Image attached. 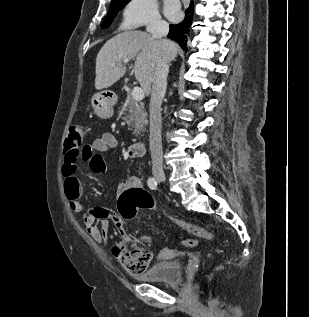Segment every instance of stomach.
Wrapping results in <instances>:
<instances>
[{
	"mask_svg": "<svg viewBox=\"0 0 309 317\" xmlns=\"http://www.w3.org/2000/svg\"><path fill=\"white\" fill-rule=\"evenodd\" d=\"M117 102L116 94L111 90L95 93L91 98V105L96 115L100 118H111L114 114L113 107Z\"/></svg>",
	"mask_w": 309,
	"mask_h": 317,
	"instance_id": "0dacf381",
	"label": "stomach"
}]
</instances>
